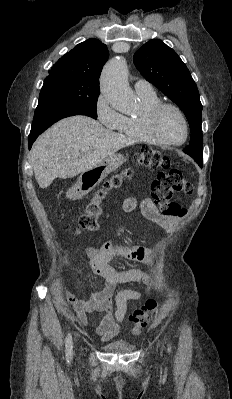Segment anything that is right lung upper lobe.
<instances>
[{
    "mask_svg": "<svg viewBox=\"0 0 232 399\" xmlns=\"http://www.w3.org/2000/svg\"><path fill=\"white\" fill-rule=\"evenodd\" d=\"M109 56L107 46L91 38L61 57L45 80H59L83 88L100 90L99 77Z\"/></svg>",
    "mask_w": 232,
    "mask_h": 399,
    "instance_id": "1",
    "label": "right lung upper lobe"
}]
</instances>
